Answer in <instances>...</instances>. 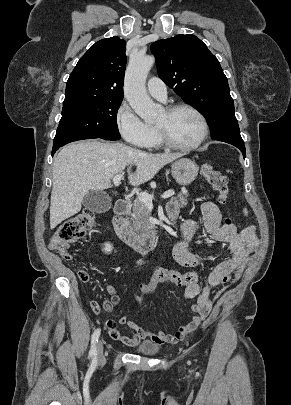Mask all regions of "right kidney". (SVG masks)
<instances>
[{"mask_svg":"<svg viewBox=\"0 0 291 405\" xmlns=\"http://www.w3.org/2000/svg\"><path fill=\"white\" fill-rule=\"evenodd\" d=\"M112 249H113L112 244H110V243H105V244H104L103 251H104L105 253H111Z\"/></svg>","mask_w":291,"mask_h":405,"instance_id":"right-kidney-1","label":"right kidney"}]
</instances>
